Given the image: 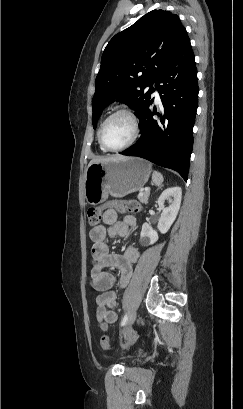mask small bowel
<instances>
[{"instance_id":"c3829d8e","label":"small bowel","mask_w":243,"mask_h":409,"mask_svg":"<svg viewBox=\"0 0 243 409\" xmlns=\"http://www.w3.org/2000/svg\"><path fill=\"white\" fill-rule=\"evenodd\" d=\"M103 224L93 227L89 232L92 241L91 285L99 294L96 297V317L102 331L114 324L118 315L115 311L117 297L113 291L115 278L106 268L117 269L120 272L119 285L124 288L131 279L132 267L139 258V251L133 244H127L122 254L110 251L107 239L115 236L126 238L135 227V218L125 216L118 220V214L113 209H107L102 215Z\"/></svg>"}]
</instances>
